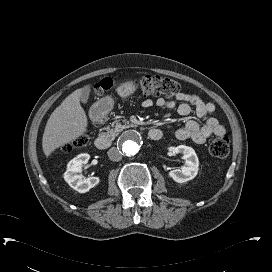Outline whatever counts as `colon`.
I'll return each mask as SVG.
<instances>
[{
	"label": "colon",
	"instance_id": "5ec220e1",
	"mask_svg": "<svg viewBox=\"0 0 272 272\" xmlns=\"http://www.w3.org/2000/svg\"><path fill=\"white\" fill-rule=\"evenodd\" d=\"M116 80L112 78L102 79L95 87L97 94H103L113 88ZM137 85L141 92L147 96L172 98L178 94L180 86L171 79L156 75H144L137 80ZM88 138L83 135L79 138V145L86 144ZM211 155L224 158L229 154L230 142L225 136H219L212 140L209 146Z\"/></svg>",
	"mask_w": 272,
	"mask_h": 272
}]
</instances>
